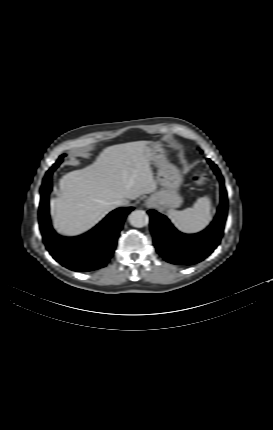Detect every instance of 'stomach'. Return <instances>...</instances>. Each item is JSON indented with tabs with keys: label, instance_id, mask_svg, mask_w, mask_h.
Returning <instances> with one entry per match:
<instances>
[{
	"label": "stomach",
	"instance_id": "obj_1",
	"mask_svg": "<svg viewBox=\"0 0 273 430\" xmlns=\"http://www.w3.org/2000/svg\"><path fill=\"white\" fill-rule=\"evenodd\" d=\"M146 154L149 162L158 167L157 181L162 186L151 195L149 201L163 209L179 207L182 204V197L178 190L183 178L178 168L167 160L164 149L157 142L148 143Z\"/></svg>",
	"mask_w": 273,
	"mask_h": 430
}]
</instances>
